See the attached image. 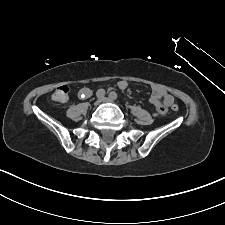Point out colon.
Returning <instances> with one entry per match:
<instances>
[{
  "label": "colon",
  "instance_id": "1",
  "mask_svg": "<svg viewBox=\"0 0 225 225\" xmlns=\"http://www.w3.org/2000/svg\"><path fill=\"white\" fill-rule=\"evenodd\" d=\"M68 95H69L68 86L65 84L59 85L52 93L51 100L55 103H64L68 100ZM171 109L176 112L179 110V106L177 104H173L171 106ZM166 112H167V109L165 107L159 108L160 114H165Z\"/></svg>",
  "mask_w": 225,
  "mask_h": 225
}]
</instances>
